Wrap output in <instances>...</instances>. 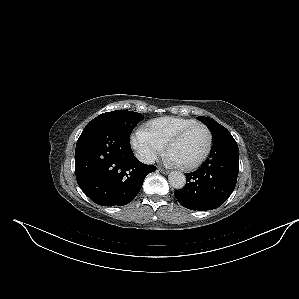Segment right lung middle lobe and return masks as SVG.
I'll use <instances>...</instances> for the list:
<instances>
[{
	"label": "right lung middle lobe",
	"instance_id": "obj_1",
	"mask_svg": "<svg viewBox=\"0 0 299 299\" xmlns=\"http://www.w3.org/2000/svg\"><path fill=\"white\" fill-rule=\"evenodd\" d=\"M144 116L137 112L116 110L103 113L89 122L101 123L116 129L124 136L130 138V134L134 127L143 120Z\"/></svg>",
	"mask_w": 299,
	"mask_h": 299
}]
</instances>
